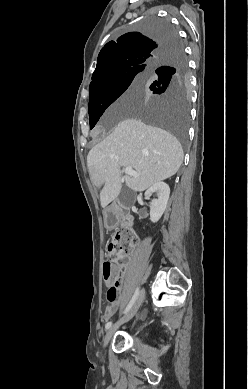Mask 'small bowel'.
<instances>
[{
  "label": "small bowel",
  "mask_w": 248,
  "mask_h": 389,
  "mask_svg": "<svg viewBox=\"0 0 248 389\" xmlns=\"http://www.w3.org/2000/svg\"><path fill=\"white\" fill-rule=\"evenodd\" d=\"M109 302V301H108ZM117 310V303L115 302H109L108 305L106 306L104 316L105 318H110L113 316L115 311Z\"/></svg>",
  "instance_id": "obj_1"
}]
</instances>
